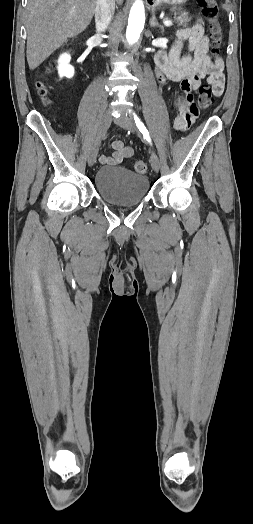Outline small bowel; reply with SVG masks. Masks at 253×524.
Instances as JSON below:
<instances>
[{
  "label": "small bowel",
  "instance_id": "obj_1",
  "mask_svg": "<svg viewBox=\"0 0 253 524\" xmlns=\"http://www.w3.org/2000/svg\"><path fill=\"white\" fill-rule=\"evenodd\" d=\"M187 43L188 52L183 53ZM209 38L205 34L203 25L198 22L190 28L179 30L174 36V43L167 53L160 51L155 57V75L159 83L167 80L180 82L182 97L176 99L172 106L180 111L174 119L176 130H186L192 127L200 115L201 106L198 104L196 90L204 78L210 84L215 96L224 92L225 77L222 60L212 61L208 56ZM111 155H101L99 162L104 165H116L124 158L133 155V149L125 146L120 140L112 142Z\"/></svg>",
  "mask_w": 253,
  "mask_h": 524
}]
</instances>
